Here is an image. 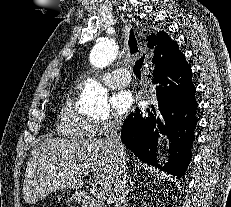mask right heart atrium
<instances>
[{"mask_svg": "<svg viewBox=\"0 0 231 207\" xmlns=\"http://www.w3.org/2000/svg\"><path fill=\"white\" fill-rule=\"evenodd\" d=\"M93 123L94 134H103L121 126V120L114 115H109L104 118L97 119L93 121Z\"/></svg>", "mask_w": 231, "mask_h": 207, "instance_id": "obj_1", "label": "right heart atrium"}]
</instances>
